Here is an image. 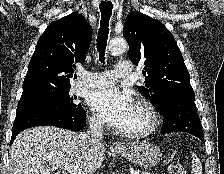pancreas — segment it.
<instances>
[{"instance_id": "1", "label": "pancreas", "mask_w": 224, "mask_h": 174, "mask_svg": "<svg viewBox=\"0 0 224 174\" xmlns=\"http://www.w3.org/2000/svg\"><path fill=\"white\" fill-rule=\"evenodd\" d=\"M141 174H153V173H149V172H141Z\"/></svg>"}]
</instances>
